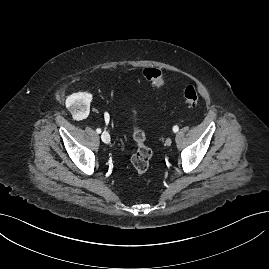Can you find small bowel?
<instances>
[{
  "label": "small bowel",
  "mask_w": 269,
  "mask_h": 269,
  "mask_svg": "<svg viewBox=\"0 0 269 269\" xmlns=\"http://www.w3.org/2000/svg\"><path fill=\"white\" fill-rule=\"evenodd\" d=\"M105 119L107 120L108 119V116H105Z\"/></svg>",
  "instance_id": "1"
}]
</instances>
